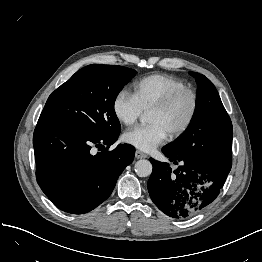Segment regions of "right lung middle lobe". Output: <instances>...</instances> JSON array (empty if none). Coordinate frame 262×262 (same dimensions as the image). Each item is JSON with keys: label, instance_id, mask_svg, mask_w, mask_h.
<instances>
[{"label": "right lung middle lobe", "instance_id": "obj_1", "mask_svg": "<svg viewBox=\"0 0 262 262\" xmlns=\"http://www.w3.org/2000/svg\"><path fill=\"white\" fill-rule=\"evenodd\" d=\"M135 74L117 65H88L49 96L39 119L69 123L100 135L118 132L121 126L114 103Z\"/></svg>", "mask_w": 262, "mask_h": 262}]
</instances>
